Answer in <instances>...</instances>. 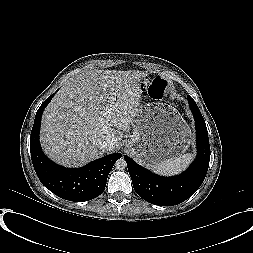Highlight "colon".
<instances>
[{
	"label": "colon",
	"instance_id": "5ec220e1",
	"mask_svg": "<svg viewBox=\"0 0 253 253\" xmlns=\"http://www.w3.org/2000/svg\"><path fill=\"white\" fill-rule=\"evenodd\" d=\"M149 94L156 101L165 100L173 103L179 99V90L161 79H156L149 86Z\"/></svg>",
	"mask_w": 253,
	"mask_h": 253
}]
</instances>
